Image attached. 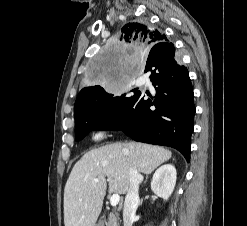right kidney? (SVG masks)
Returning <instances> with one entry per match:
<instances>
[{"label":"right kidney","mask_w":247,"mask_h":226,"mask_svg":"<svg viewBox=\"0 0 247 226\" xmlns=\"http://www.w3.org/2000/svg\"><path fill=\"white\" fill-rule=\"evenodd\" d=\"M176 169L171 164H165L159 167L152 178L151 189L158 196L167 200L176 184Z\"/></svg>","instance_id":"right-kidney-1"}]
</instances>
